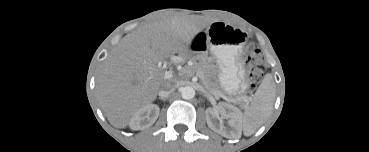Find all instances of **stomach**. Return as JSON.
<instances>
[{
  "mask_svg": "<svg viewBox=\"0 0 369 152\" xmlns=\"http://www.w3.org/2000/svg\"><path fill=\"white\" fill-rule=\"evenodd\" d=\"M204 35L207 46L219 64L222 89L228 94L244 92L247 85L240 56L247 42L246 34L230 24L216 21L209 25Z\"/></svg>",
  "mask_w": 369,
  "mask_h": 152,
  "instance_id": "0dacf381",
  "label": "stomach"
}]
</instances>
